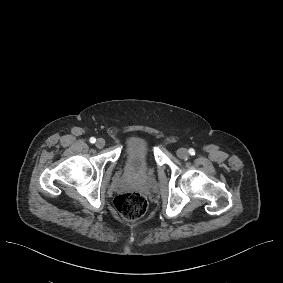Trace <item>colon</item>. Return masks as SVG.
<instances>
[{"instance_id": "colon-1", "label": "colon", "mask_w": 283, "mask_h": 283, "mask_svg": "<svg viewBox=\"0 0 283 283\" xmlns=\"http://www.w3.org/2000/svg\"><path fill=\"white\" fill-rule=\"evenodd\" d=\"M114 204L122 218L129 222L139 219L147 208L145 197L137 192H129L117 196Z\"/></svg>"}]
</instances>
